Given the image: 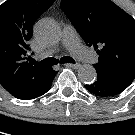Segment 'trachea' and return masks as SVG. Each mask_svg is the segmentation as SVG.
I'll return each mask as SVG.
<instances>
[{
	"label": "trachea",
	"instance_id": "trachea-1",
	"mask_svg": "<svg viewBox=\"0 0 135 135\" xmlns=\"http://www.w3.org/2000/svg\"><path fill=\"white\" fill-rule=\"evenodd\" d=\"M33 62H34V64H36L38 66L45 67V66L56 65L59 62L61 64H64V63H75V60L72 59L69 56H65V57H62L60 60H57L55 58H46V59H44V60H42L40 62H36V61H33Z\"/></svg>",
	"mask_w": 135,
	"mask_h": 135
}]
</instances>
